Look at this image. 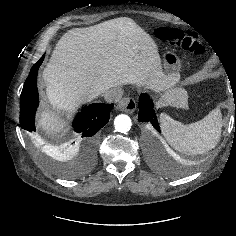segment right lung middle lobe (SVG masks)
<instances>
[{
	"mask_svg": "<svg viewBox=\"0 0 236 236\" xmlns=\"http://www.w3.org/2000/svg\"><path fill=\"white\" fill-rule=\"evenodd\" d=\"M32 144L34 145L38 155L41 156L45 162H48V164L53 165L58 170L59 173H61L62 175H71V174H73L72 172H69V171H66V170L62 169V167L60 165H57L56 163H53L48 158H46L42 153V145L40 143H38L36 140L33 139ZM93 159H94V156L90 157L89 161L92 162Z\"/></svg>",
	"mask_w": 236,
	"mask_h": 236,
	"instance_id": "obj_1",
	"label": "right lung middle lobe"
}]
</instances>
